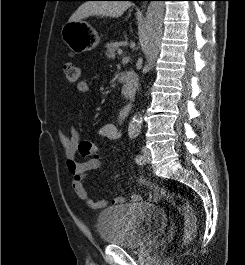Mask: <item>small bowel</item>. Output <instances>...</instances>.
<instances>
[{
	"mask_svg": "<svg viewBox=\"0 0 245 265\" xmlns=\"http://www.w3.org/2000/svg\"><path fill=\"white\" fill-rule=\"evenodd\" d=\"M76 90L80 93H87L90 90V87L86 81L82 80L76 84ZM97 134L108 140H117L121 136L119 128L113 123H105L101 125L97 130ZM58 137L67 159V170L72 176L71 185L74 193L78 198L84 201L88 207L92 209L104 208L108 204V201L104 199H92L84 185L86 175L91 171L97 170L101 165L100 161L98 159H90L86 161L77 160L76 154L80 134L75 127L70 126L68 132L60 130L58 132ZM159 198V195L154 191H150L147 194V199L150 202H156ZM141 200L142 196L139 194H133L130 197L131 202H139ZM124 202L125 198L122 196H116L111 201L113 205H120Z\"/></svg>",
	"mask_w": 245,
	"mask_h": 265,
	"instance_id": "c3829d8e",
	"label": "small bowel"
}]
</instances>
